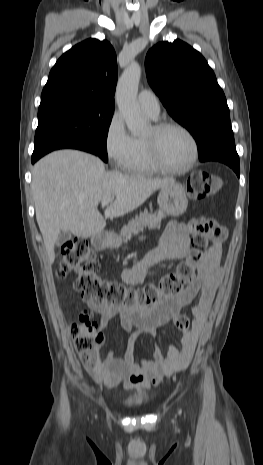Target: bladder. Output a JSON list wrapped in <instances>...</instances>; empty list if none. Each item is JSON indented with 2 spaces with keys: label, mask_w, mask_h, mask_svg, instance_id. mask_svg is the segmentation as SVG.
<instances>
[{
  "label": "bladder",
  "mask_w": 263,
  "mask_h": 465,
  "mask_svg": "<svg viewBox=\"0 0 263 465\" xmlns=\"http://www.w3.org/2000/svg\"><path fill=\"white\" fill-rule=\"evenodd\" d=\"M150 401V396L146 393L139 392L125 398L123 405L129 409H136L144 406Z\"/></svg>",
  "instance_id": "obj_1"
}]
</instances>
